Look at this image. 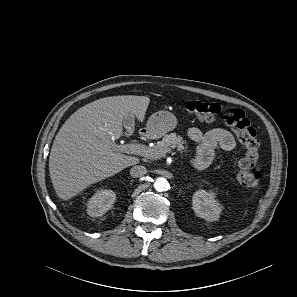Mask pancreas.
Listing matches in <instances>:
<instances>
[{
	"label": "pancreas",
	"instance_id": "pancreas-1",
	"mask_svg": "<svg viewBox=\"0 0 297 297\" xmlns=\"http://www.w3.org/2000/svg\"><path fill=\"white\" fill-rule=\"evenodd\" d=\"M175 148L181 152L187 151V146L185 145L182 136L177 135L176 133L167 134L153 147L156 157L151 159H160Z\"/></svg>",
	"mask_w": 297,
	"mask_h": 297
}]
</instances>
